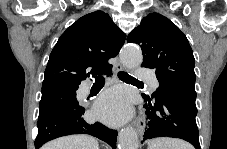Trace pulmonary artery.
I'll list each match as a JSON object with an SVG mask.
<instances>
[{"mask_svg":"<svg viewBox=\"0 0 227 149\" xmlns=\"http://www.w3.org/2000/svg\"><path fill=\"white\" fill-rule=\"evenodd\" d=\"M136 78L140 81L148 82L153 89H157L159 86V83L154 74L148 68L136 69Z\"/></svg>","mask_w":227,"mask_h":149,"instance_id":"1","label":"pulmonary artery"}]
</instances>
